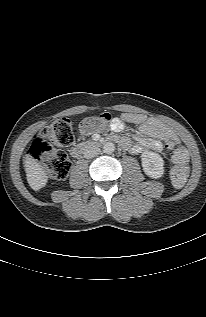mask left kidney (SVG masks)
<instances>
[{
    "label": "left kidney",
    "mask_w": 206,
    "mask_h": 317,
    "mask_svg": "<svg viewBox=\"0 0 206 317\" xmlns=\"http://www.w3.org/2000/svg\"><path fill=\"white\" fill-rule=\"evenodd\" d=\"M142 167L146 175L158 179L164 173V160L163 158L152 151H145L141 155Z\"/></svg>",
    "instance_id": "5707ae66"
}]
</instances>
